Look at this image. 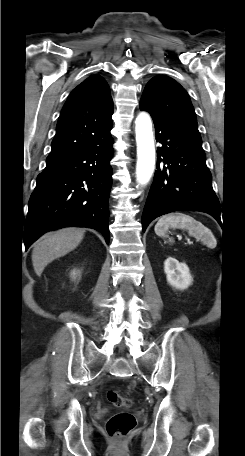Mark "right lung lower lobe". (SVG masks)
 <instances>
[{
	"instance_id": "98d812e1",
	"label": "right lung lower lobe",
	"mask_w": 245,
	"mask_h": 456,
	"mask_svg": "<svg viewBox=\"0 0 245 456\" xmlns=\"http://www.w3.org/2000/svg\"><path fill=\"white\" fill-rule=\"evenodd\" d=\"M110 132L87 149L46 164L38 175L25 222L26 249L43 233L67 226L98 230L109 243Z\"/></svg>"
}]
</instances>
